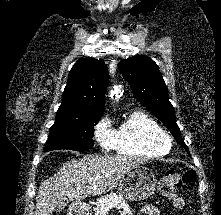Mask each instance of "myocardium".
Masks as SVG:
<instances>
[{"label":"myocardium","mask_w":221,"mask_h":215,"mask_svg":"<svg viewBox=\"0 0 221 215\" xmlns=\"http://www.w3.org/2000/svg\"><path fill=\"white\" fill-rule=\"evenodd\" d=\"M150 142L153 147L165 153L171 149L173 144L172 137L163 129L153 132L150 136Z\"/></svg>","instance_id":"obj_1"}]
</instances>
